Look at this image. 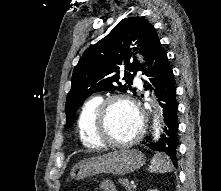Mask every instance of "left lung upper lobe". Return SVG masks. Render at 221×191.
<instances>
[{"instance_id": "obj_1", "label": "left lung upper lobe", "mask_w": 221, "mask_h": 191, "mask_svg": "<svg viewBox=\"0 0 221 191\" xmlns=\"http://www.w3.org/2000/svg\"><path fill=\"white\" fill-rule=\"evenodd\" d=\"M156 30L141 17H129L121 20L112 31L95 45L89 47L73 70L71 90L66 99V127L73 121L76 111L83 101L95 92L132 90L134 75L128 71H141L142 65L132 58L131 51H139L147 57ZM125 68L121 85L120 69ZM135 94V89H133Z\"/></svg>"}]
</instances>
